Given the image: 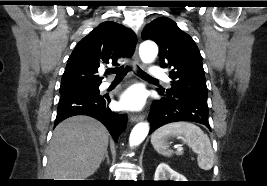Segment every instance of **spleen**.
Instances as JSON below:
<instances>
[{"label": "spleen", "instance_id": "3e777b00", "mask_svg": "<svg viewBox=\"0 0 267 186\" xmlns=\"http://www.w3.org/2000/svg\"><path fill=\"white\" fill-rule=\"evenodd\" d=\"M172 136H183L188 146L197 153V162L201 169L212 168L214 154L210 139L198 126L189 122H174L157 129L151 137L154 149L164 156H170L172 151L168 149L165 140Z\"/></svg>", "mask_w": 267, "mask_h": 186}]
</instances>
